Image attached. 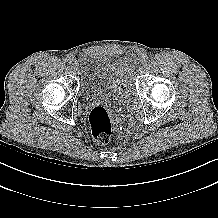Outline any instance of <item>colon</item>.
I'll list each match as a JSON object with an SVG mask.
<instances>
[{
    "instance_id": "obj_1",
    "label": "colon",
    "mask_w": 218,
    "mask_h": 218,
    "mask_svg": "<svg viewBox=\"0 0 218 218\" xmlns=\"http://www.w3.org/2000/svg\"><path fill=\"white\" fill-rule=\"evenodd\" d=\"M89 124L94 140L98 144H106L112 135V119L108 110L98 105L92 108L89 114Z\"/></svg>"
}]
</instances>
